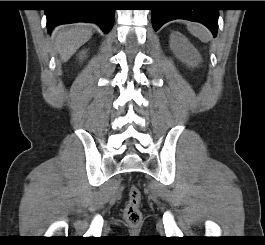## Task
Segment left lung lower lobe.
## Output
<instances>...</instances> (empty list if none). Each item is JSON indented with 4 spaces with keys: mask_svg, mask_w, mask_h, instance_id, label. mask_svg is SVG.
<instances>
[{
    "mask_svg": "<svg viewBox=\"0 0 265 245\" xmlns=\"http://www.w3.org/2000/svg\"><path fill=\"white\" fill-rule=\"evenodd\" d=\"M208 1H165L161 8L152 10V24L157 31L164 23L173 19H185L206 25L216 36L219 10L214 8H195Z\"/></svg>",
    "mask_w": 265,
    "mask_h": 245,
    "instance_id": "0a47b994",
    "label": "left lung lower lobe"
}]
</instances>
